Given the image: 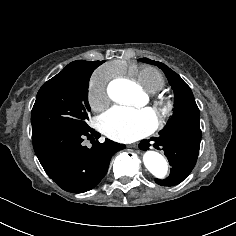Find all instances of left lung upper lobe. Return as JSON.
I'll return each instance as SVG.
<instances>
[{
    "label": "left lung upper lobe",
    "mask_w": 236,
    "mask_h": 236,
    "mask_svg": "<svg viewBox=\"0 0 236 236\" xmlns=\"http://www.w3.org/2000/svg\"><path fill=\"white\" fill-rule=\"evenodd\" d=\"M138 60L157 65L165 73L172 89L174 90L175 101L173 115L164 129L169 127H179L200 131V112L190 87L176 72L171 70L165 64L152 61L148 58H140Z\"/></svg>",
    "instance_id": "left-lung-upper-lobe-1"
}]
</instances>
